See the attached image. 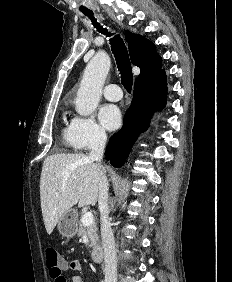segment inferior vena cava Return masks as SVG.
Returning a JSON list of instances; mask_svg holds the SVG:
<instances>
[{
    "label": "inferior vena cava",
    "instance_id": "obj_1",
    "mask_svg": "<svg viewBox=\"0 0 232 282\" xmlns=\"http://www.w3.org/2000/svg\"><path fill=\"white\" fill-rule=\"evenodd\" d=\"M107 140L104 131H98L95 135L91 151L87 159L96 162L100 167L103 158L105 143ZM109 184L105 174L101 177L98 193V205L100 210V223H101V238L104 249V262H105V279L110 282H115L117 277V259L115 250V241L111 224L108 220L109 206H108V188Z\"/></svg>",
    "mask_w": 232,
    "mask_h": 282
}]
</instances>
